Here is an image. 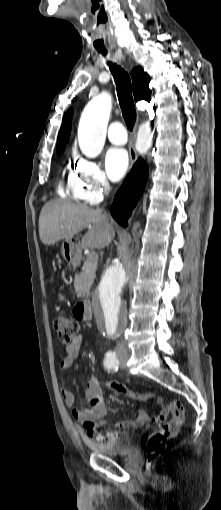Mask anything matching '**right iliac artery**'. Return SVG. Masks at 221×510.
<instances>
[{"mask_svg":"<svg viewBox=\"0 0 221 510\" xmlns=\"http://www.w3.org/2000/svg\"><path fill=\"white\" fill-rule=\"evenodd\" d=\"M104 365L108 370L117 371L119 367V361L116 357L115 352L109 351L105 355Z\"/></svg>","mask_w":221,"mask_h":510,"instance_id":"right-iliac-artery-1","label":"right iliac artery"}]
</instances>
